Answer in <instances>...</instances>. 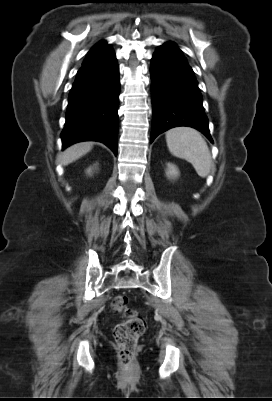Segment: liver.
Instances as JSON below:
<instances>
[{
    "label": "liver",
    "instance_id": "1",
    "mask_svg": "<svg viewBox=\"0 0 272 401\" xmlns=\"http://www.w3.org/2000/svg\"><path fill=\"white\" fill-rule=\"evenodd\" d=\"M93 147L92 142H81L68 147L62 154L61 163L68 165L87 154Z\"/></svg>",
    "mask_w": 272,
    "mask_h": 401
}]
</instances>
